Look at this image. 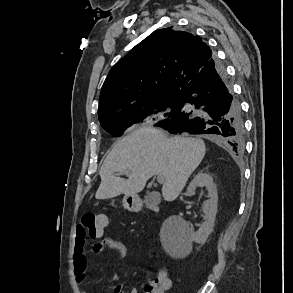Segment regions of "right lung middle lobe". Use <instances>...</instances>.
Here are the masks:
<instances>
[{
    "label": "right lung middle lobe",
    "mask_w": 293,
    "mask_h": 293,
    "mask_svg": "<svg viewBox=\"0 0 293 293\" xmlns=\"http://www.w3.org/2000/svg\"><path fill=\"white\" fill-rule=\"evenodd\" d=\"M176 108V99H169L134 113L107 115L99 119V121L107 132L121 136L132 124L141 121H158L174 112Z\"/></svg>",
    "instance_id": "obj_1"
}]
</instances>
